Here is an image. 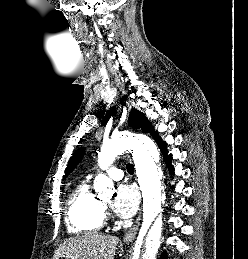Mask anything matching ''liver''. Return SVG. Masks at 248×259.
I'll list each match as a JSON object with an SVG mask.
<instances>
[{"label": "liver", "instance_id": "1", "mask_svg": "<svg viewBox=\"0 0 248 259\" xmlns=\"http://www.w3.org/2000/svg\"><path fill=\"white\" fill-rule=\"evenodd\" d=\"M119 239L110 235L88 233L65 240L52 259H114Z\"/></svg>", "mask_w": 248, "mask_h": 259}]
</instances>
